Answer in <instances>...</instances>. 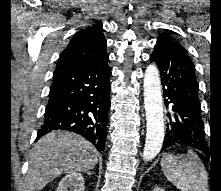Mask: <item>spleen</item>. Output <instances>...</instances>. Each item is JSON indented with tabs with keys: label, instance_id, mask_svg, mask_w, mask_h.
<instances>
[{
	"label": "spleen",
	"instance_id": "1",
	"mask_svg": "<svg viewBox=\"0 0 221 191\" xmlns=\"http://www.w3.org/2000/svg\"><path fill=\"white\" fill-rule=\"evenodd\" d=\"M161 168L167 180L181 191H208L206 168L193 152L187 155L165 153Z\"/></svg>",
	"mask_w": 221,
	"mask_h": 191
}]
</instances>
